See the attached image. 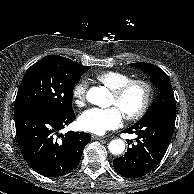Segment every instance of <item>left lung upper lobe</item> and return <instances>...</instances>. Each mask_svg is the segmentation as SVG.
Returning a JSON list of instances; mask_svg holds the SVG:
<instances>
[{"instance_id":"left-lung-upper-lobe-1","label":"left lung upper lobe","mask_w":194,"mask_h":194,"mask_svg":"<svg viewBox=\"0 0 194 194\" xmlns=\"http://www.w3.org/2000/svg\"><path fill=\"white\" fill-rule=\"evenodd\" d=\"M129 66L139 68L146 73L150 77L151 82L159 89V94L147 112L161 106L176 105L169 77L161 68L144 62L132 63Z\"/></svg>"}]
</instances>
